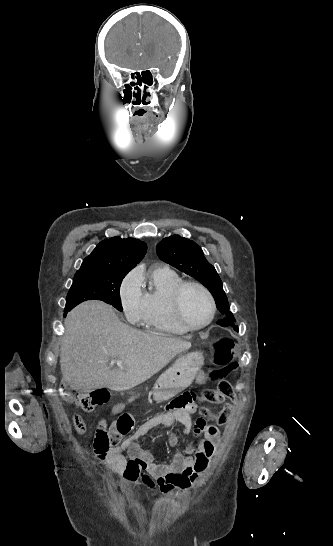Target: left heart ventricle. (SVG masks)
Here are the masks:
<instances>
[{"label":"left heart ventricle","mask_w":333,"mask_h":546,"mask_svg":"<svg viewBox=\"0 0 333 546\" xmlns=\"http://www.w3.org/2000/svg\"><path fill=\"white\" fill-rule=\"evenodd\" d=\"M182 310L190 324L200 325L209 318V301L200 289L187 287L182 295Z\"/></svg>","instance_id":"left-heart-ventricle-1"}]
</instances>
